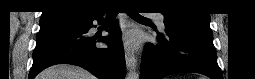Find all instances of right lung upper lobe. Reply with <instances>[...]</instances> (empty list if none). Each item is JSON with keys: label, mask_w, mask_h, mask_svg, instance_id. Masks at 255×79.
Segmentation results:
<instances>
[{"label": "right lung upper lobe", "mask_w": 255, "mask_h": 79, "mask_svg": "<svg viewBox=\"0 0 255 79\" xmlns=\"http://www.w3.org/2000/svg\"><path fill=\"white\" fill-rule=\"evenodd\" d=\"M44 10L41 18L72 13L79 19H86L102 13L99 7L85 0H48Z\"/></svg>", "instance_id": "cb5924a9"}]
</instances>
